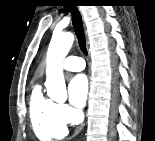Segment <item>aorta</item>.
Segmentation results:
<instances>
[{"mask_svg":"<svg viewBox=\"0 0 155 141\" xmlns=\"http://www.w3.org/2000/svg\"><path fill=\"white\" fill-rule=\"evenodd\" d=\"M74 35L70 32L53 33L46 58V83L48 96L56 102L67 99L62 63L72 47Z\"/></svg>","mask_w":155,"mask_h":141,"instance_id":"1","label":"aorta"}]
</instances>
